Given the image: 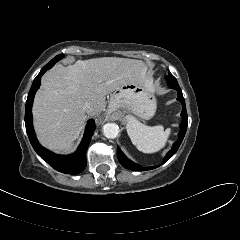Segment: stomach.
<instances>
[{
    "instance_id": "obj_1",
    "label": "stomach",
    "mask_w": 240,
    "mask_h": 240,
    "mask_svg": "<svg viewBox=\"0 0 240 240\" xmlns=\"http://www.w3.org/2000/svg\"><path fill=\"white\" fill-rule=\"evenodd\" d=\"M156 99L153 95V86L147 83H127L111 95L109 111H128L141 119L148 120L156 112Z\"/></svg>"
}]
</instances>
